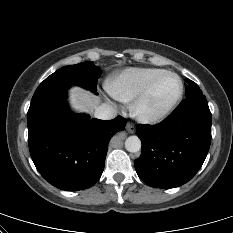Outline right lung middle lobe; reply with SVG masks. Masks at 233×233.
<instances>
[{
    "label": "right lung middle lobe",
    "instance_id": "right-lung-middle-lobe-1",
    "mask_svg": "<svg viewBox=\"0 0 233 233\" xmlns=\"http://www.w3.org/2000/svg\"><path fill=\"white\" fill-rule=\"evenodd\" d=\"M100 72L99 67L90 61L65 66L51 74L38 86L32 101L54 92L66 91L71 85H78L96 92Z\"/></svg>",
    "mask_w": 233,
    "mask_h": 233
}]
</instances>
